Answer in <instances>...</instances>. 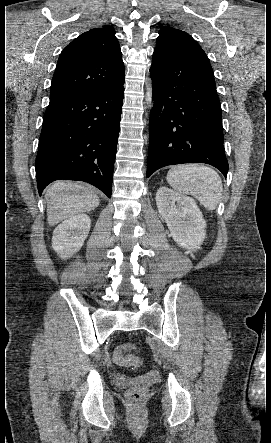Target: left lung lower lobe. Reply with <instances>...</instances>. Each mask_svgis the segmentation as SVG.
<instances>
[{"mask_svg":"<svg viewBox=\"0 0 271 443\" xmlns=\"http://www.w3.org/2000/svg\"><path fill=\"white\" fill-rule=\"evenodd\" d=\"M147 177L168 165L206 163L227 176L221 106L209 62L154 50Z\"/></svg>","mask_w":271,"mask_h":443,"instance_id":"0a47b994","label":"left lung lower lobe"}]
</instances>
